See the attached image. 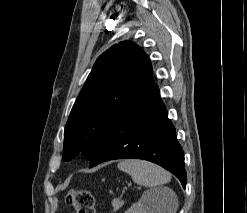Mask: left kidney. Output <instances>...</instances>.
I'll list each match as a JSON object with an SVG mask.
<instances>
[{"label":"left kidney","instance_id":"left-kidney-1","mask_svg":"<svg viewBox=\"0 0 247 213\" xmlns=\"http://www.w3.org/2000/svg\"><path fill=\"white\" fill-rule=\"evenodd\" d=\"M158 196L153 191H146L140 200L134 203L125 213H160Z\"/></svg>","mask_w":247,"mask_h":213}]
</instances>
